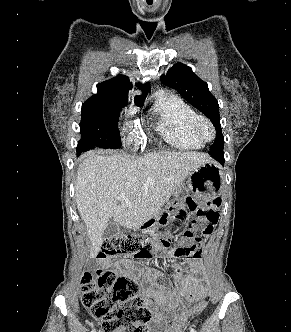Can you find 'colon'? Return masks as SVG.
Instances as JSON below:
<instances>
[{"mask_svg": "<svg viewBox=\"0 0 291 332\" xmlns=\"http://www.w3.org/2000/svg\"><path fill=\"white\" fill-rule=\"evenodd\" d=\"M219 203L220 200L216 198L202 209H197L192 202L189 204L192 211H197L201 221H193L188 227H184L183 239L189 244L171 248L173 257L199 256L197 244L212 233L219 219ZM186 214V211H181L177 220L184 224ZM171 239V236L158 235H114L104 241L100 258L124 255L149 259L158 249L170 247ZM81 301L92 316L102 321L103 332H148L151 312L139 292L138 283L130 277L109 270H98L95 274L85 273L81 279ZM205 307L206 301L200 300L192 308L181 311L172 318L168 331L183 332L187 321Z\"/></svg>", "mask_w": 291, "mask_h": 332, "instance_id": "colon-1", "label": "colon"}]
</instances>
